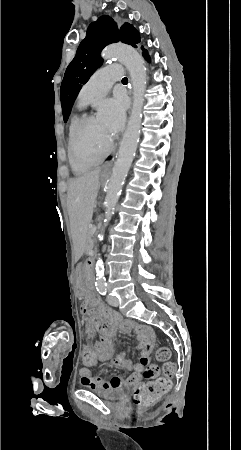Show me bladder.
Listing matches in <instances>:
<instances>
[{
  "label": "bladder",
  "instance_id": "bladder-1",
  "mask_svg": "<svg viewBox=\"0 0 241 450\" xmlns=\"http://www.w3.org/2000/svg\"><path fill=\"white\" fill-rule=\"evenodd\" d=\"M99 395L109 400H121L125 394L122 389L116 388L103 390L99 392Z\"/></svg>",
  "mask_w": 241,
  "mask_h": 450
}]
</instances>
